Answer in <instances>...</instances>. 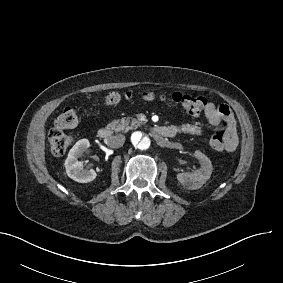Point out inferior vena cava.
<instances>
[{
    "instance_id": "inferior-vena-cava-1",
    "label": "inferior vena cava",
    "mask_w": 283,
    "mask_h": 283,
    "mask_svg": "<svg viewBox=\"0 0 283 283\" xmlns=\"http://www.w3.org/2000/svg\"><path fill=\"white\" fill-rule=\"evenodd\" d=\"M125 142V137L123 135H113L108 138L107 145L111 148H120Z\"/></svg>"
}]
</instances>
